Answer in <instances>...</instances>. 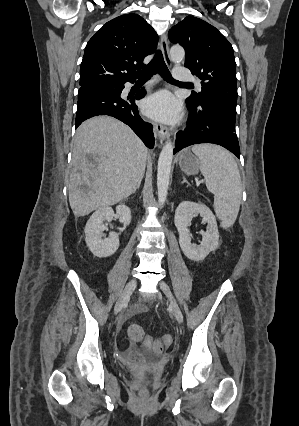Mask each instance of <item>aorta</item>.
<instances>
[{
	"label": "aorta",
	"mask_w": 299,
	"mask_h": 426,
	"mask_svg": "<svg viewBox=\"0 0 299 426\" xmlns=\"http://www.w3.org/2000/svg\"><path fill=\"white\" fill-rule=\"evenodd\" d=\"M185 57V51L183 47L174 45L170 49V59L174 63H180ZM174 144L171 141H167L163 146L158 159V170H157V190H158V202L160 205H164L170 181L171 165L173 160Z\"/></svg>",
	"instance_id": "1"
}]
</instances>
